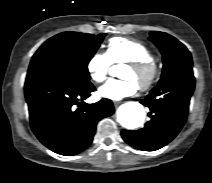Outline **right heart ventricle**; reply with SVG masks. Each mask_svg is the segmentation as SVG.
<instances>
[{"instance_id": "right-heart-ventricle-1", "label": "right heart ventricle", "mask_w": 212, "mask_h": 183, "mask_svg": "<svg viewBox=\"0 0 212 183\" xmlns=\"http://www.w3.org/2000/svg\"><path fill=\"white\" fill-rule=\"evenodd\" d=\"M106 54L113 64L128 63L142 59L154 60L151 49L144 43L122 37H115L109 40Z\"/></svg>"}]
</instances>
